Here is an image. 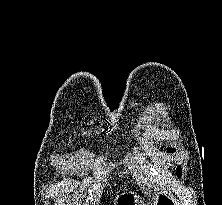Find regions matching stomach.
Here are the masks:
<instances>
[{
  "label": "stomach",
  "mask_w": 222,
  "mask_h": 205,
  "mask_svg": "<svg viewBox=\"0 0 222 205\" xmlns=\"http://www.w3.org/2000/svg\"><path fill=\"white\" fill-rule=\"evenodd\" d=\"M113 203L114 205H143L144 200L134 192H124L117 194L113 199ZM176 203L177 201L171 195L156 193L152 196L150 205H177Z\"/></svg>",
  "instance_id": "obj_1"
}]
</instances>
